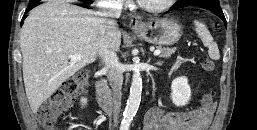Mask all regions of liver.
<instances>
[{
	"mask_svg": "<svg viewBox=\"0 0 257 130\" xmlns=\"http://www.w3.org/2000/svg\"><path fill=\"white\" fill-rule=\"evenodd\" d=\"M102 20L99 13L57 0H48L30 12L21 29L20 48L25 91L33 113L62 83L100 55ZM120 44L117 30L115 52ZM69 55L82 59L71 62Z\"/></svg>",
	"mask_w": 257,
	"mask_h": 130,
	"instance_id": "6515ba94",
	"label": "liver"
}]
</instances>
